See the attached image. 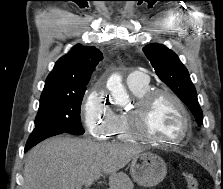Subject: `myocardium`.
Returning a JSON list of instances; mask_svg holds the SVG:
<instances>
[{"instance_id": "1", "label": "myocardium", "mask_w": 223, "mask_h": 189, "mask_svg": "<svg viewBox=\"0 0 223 189\" xmlns=\"http://www.w3.org/2000/svg\"><path fill=\"white\" fill-rule=\"evenodd\" d=\"M166 96L170 98L177 106L182 115L183 127L180 135L175 139L156 138L144 131L143 122L151 105L160 97ZM129 131L134 139L142 142L160 145V146H176L182 142L190 133L191 118L184 102L174 92L166 89L149 90L143 96L139 97L134 107L128 112Z\"/></svg>"}]
</instances>
